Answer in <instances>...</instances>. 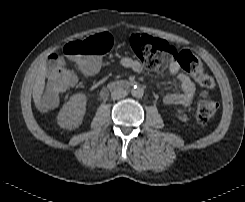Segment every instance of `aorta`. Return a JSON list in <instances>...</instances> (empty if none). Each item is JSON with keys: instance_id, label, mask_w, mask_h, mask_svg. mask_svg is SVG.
Segmentation results:
<instances>
[{"instance_id": "1", "label": "aorta", "mask_w": 245, "mask_h": 202, "mask_svg": "<svg viewBox=\"0 0 245 202\" xmlns=\"http://www.w3.org/2000/svg\"><path fill=\"white\" fill-rule=\"evenodd\" d=\"M131 94L133 97L140 98L144 94V89L140 86H134L131 90Z\"/></svg>"}]
</instances>
